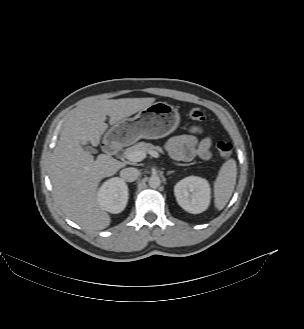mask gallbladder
<instances>
[{
	"label": "gallbladder",
	"mask_w": 304,
	"mask_h": 329,
	"mask_svg": "<svg viewBox=\"0 0 304 329\" xmlns=\"http://www.w3.org/2000/svg\"><path fill=\"white\" fill-rule=\"evenodd\" d=\"M83 147H84V150L87 151V152H89V153H96V150L93 147H91V146H88L86 144H83Z\"/></svg>",
	"instance_id": "bac80fb5"
}]
</instances>
